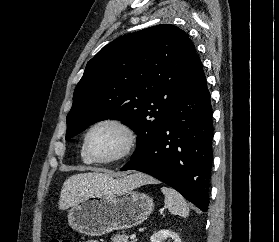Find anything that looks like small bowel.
I'll return each instance as SVG.
<instances>
[{"label": "small bowel", "instance_id": "c3829d8e", "mask_svg": "<svg viewBox=\"0 0 279 242\" xmlns=\"http://www.w3.org/2000/svg\"><path fill=\"white\" fill-rule=\"evenodd\" d=\"M86 242H99V241H97V240H88Z\"/></svg>", "mask_w": 279, "mask_h": 242}]
</instances>
